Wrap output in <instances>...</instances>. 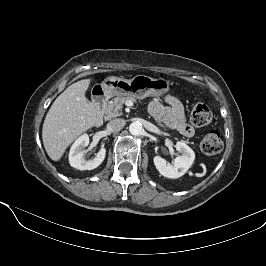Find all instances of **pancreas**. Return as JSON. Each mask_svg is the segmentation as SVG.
Returning <instances> with one entry per match:
<instances>
[{
	"label": "pancreas",
	"mask_w": 266,
	"mask_h": 266,
	"mask_svg": "<svg viewBox=\"0 0 266 266\" xmlns=\"http://www.w3.org/2000/svg\"><path fill=\"white\" fill-rule=\"evenodd\" d=\"M135 102L136 99L133 96H117L109 101L104 107V113L107 118H114L122 115L123 104L126 101Z\"/></svg>",
	"instance_id": "1"
}]
</instances>
